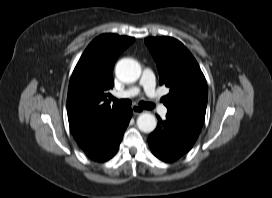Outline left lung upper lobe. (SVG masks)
Instances as JSON below:
<instances>
[{
    "mask_svg": "<svg viewBox=\"0 0 272 198\" xmlns=\"http://www.w3.org/2000/svg\"><path fill=\"white\" fill-rule=\"evenodd\" d=\"M145 44L157 63L160 85L170 89L162 98L168 112L204 122L207 83L189 50L171 37L146 38Z\"/></svg>",
    "mask_w": 272,
    "mask_h": 198,
    "instance_id": "1",
    "label": "left lung upper lobe"
}]
</instances>
